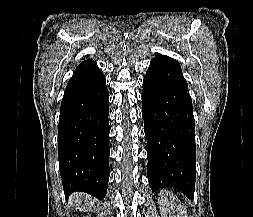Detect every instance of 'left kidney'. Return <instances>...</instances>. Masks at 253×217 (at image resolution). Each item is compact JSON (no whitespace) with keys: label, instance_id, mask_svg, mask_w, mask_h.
<instances>
[{"label":"left kidney","instance_id":"obj_1","mask_svg":"<svg viewBox=\"0 0 253 217\" xmlns=\"http://www.w3.org/2000/svg\"><path fill=\"white\" fill-rule=\"evenodd\" d=\"M158 201L161 205L162 213L166 215L168 213L173 214V216L169 217H188L186 216V209L181 205L178 198H176L171 192L161 191L159 193Z\"/></svg>","mask_w":253,"mask_h":217}]
</instances>
